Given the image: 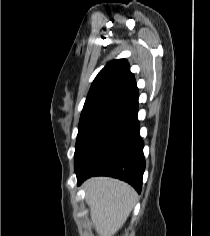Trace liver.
<instances>
[{
    "label": "liver",
    "instance_id": "1",
    "mask_svg": "<svg viewBox=\"0 0 210 236\" xmlns=\"http://www.w3.org/2000/svg\"><path fill=\"white\" fill-rule=\"evenodd\" d=\"M84 189L97 234L114 236L135 205V190L127 183L110 177H92L84 183Z\"/></svg>",
    "mask_w": 210,
    "mask_h": 236
}]
</instances>
